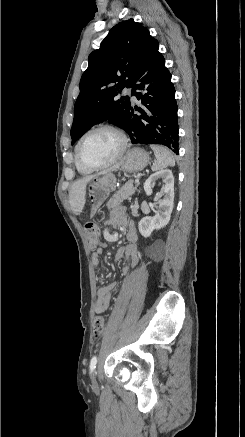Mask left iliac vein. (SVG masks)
<instances>
[{
  "label": "left iliac vein",
  "instance_id": "1",
  "mask_svg": "<svg viewBox=\"0 0 245 437\" xmlns=\"http://www.w3.org/2000/svg\"><path fill=\"white\" fill-rule=\"evenodd\" d=\"M92 382L94 386L97 384L95 376H93Z\"/></svg>",
  "mask_w": 245,
  "mask_h": 437
}]
</instances>
